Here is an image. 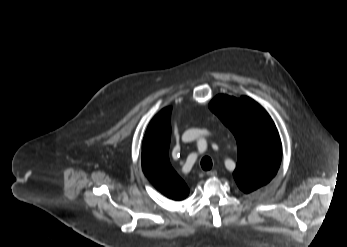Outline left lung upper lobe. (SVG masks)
Returning <instances> with one entry per match:
<instances>
[{"instance_id": "obj_1", "label": "left lung upper lobe", "mask_w": 347, "mask_h": 247, "mask_svg": "<svg viewBox=\"0 0 347 247\" xmlns=\"http://www.w3.org/2000/svg\"><path fill=\"white\" fill-rule=\"evenodd\" d=\"M209 108L236 138L238 162L233 175L238 187L250 193L267 184L282 158L281 140L269 114L245 96L217 95Z\"/></svg>"}]
</instances>
